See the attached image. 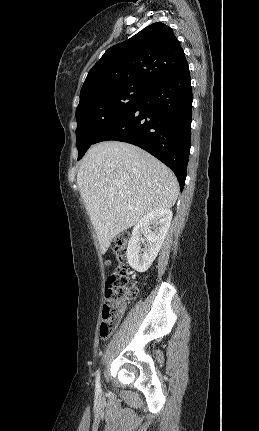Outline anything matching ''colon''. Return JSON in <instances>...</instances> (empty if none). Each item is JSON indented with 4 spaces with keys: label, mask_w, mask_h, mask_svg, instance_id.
I'll return each mask as SVG.
<instances>
[{
    "label": "colon",
    "mask_w": 259,
    "mask_h": 431,
    "mask_svg": "<svg viewBox=\"0 0 259 431\" xmlns=\"http://www.w3.org/2000/svg\"><path fill=\"white\" fill-rule=\"evenodd\" d=\"M129 238L128 233H122L112 242V252L119 259V264L108 277L105 285V301L100 323L102 338L110 336L123 313L125 301L133 295L128 270L123 262Z\"/></svg>",
    "instance_id": "1"
}]
</instances>
